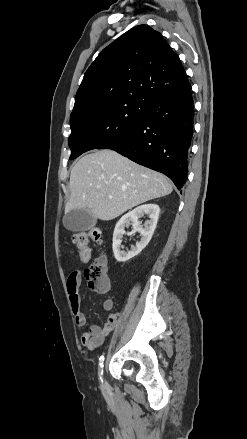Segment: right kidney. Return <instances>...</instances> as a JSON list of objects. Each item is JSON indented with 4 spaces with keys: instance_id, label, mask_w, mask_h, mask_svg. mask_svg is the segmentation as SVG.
<instances>
[{
    "instance_id": "obj_1",
    "label": "right kidney",
    "mask_w": 247,
    "mask_h": 439,
    "mask_svg": "<svg viewBox=\"0 0 247 439\" xmlns=\"http://www.w3.org/2000/svg\"><path fill=\"white\" fill-rule=\"evenodd\" d=\"M159 212L160 208L157 204H145L135 208L121 217V219L117 222L113 233V253L118 262H126L129 259L137 256L148 245L155 231ZM144 215H148L149 220L145 222L143 227L139 221V218L143 217ZM130 225L133 226V231L127 234L132 235L135 232H139L141 234V240L126 252L124 250H120V248H123L121 246V242L123 235L126 233L124 228L129 227Z\"/></svg>"
}]
</instances>
